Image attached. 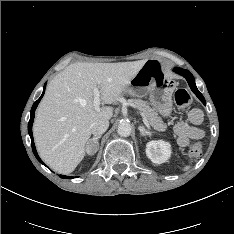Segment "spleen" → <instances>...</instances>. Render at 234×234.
I'll return each instance as SVG.
<instances>
[{"mask_svg": "<svg viewBox=\"0 0 234 234\" xmlns=\"http://www.w3.org/2000/svg\"><path fill=\"white\" fill-rule=\"evenodd\" d=\"M190 168V165L184 167V170L187 171Z\"/></svg>", "mask_w": 234, "mask_h": 234, "instance_id": "3e777b00", "label": "spleen"}]
</instances>
